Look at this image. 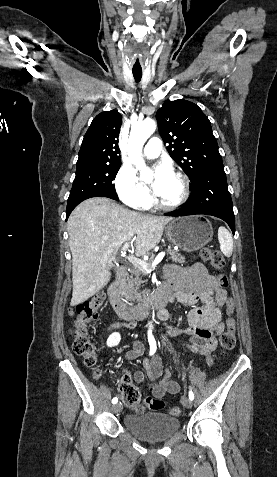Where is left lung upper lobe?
Segmentation results:
<instances>
[{"label": "left lung upper lobe", "mask_w": 277, "mask_h": 477, "mask_svg": "<svg viewBox=\"0 0 277 477\" xmlns=\"http://www.w3.org/2000/svg\"><path fill=\"white\" fill-rule=\"evenodd\" d=\"M159 132L170 156L191 183L211 166L222 164L211 123L202 110L187 100H167L156 113Z\"/></svg>", "instance_id": "5c2ea615"}]
</instances>
